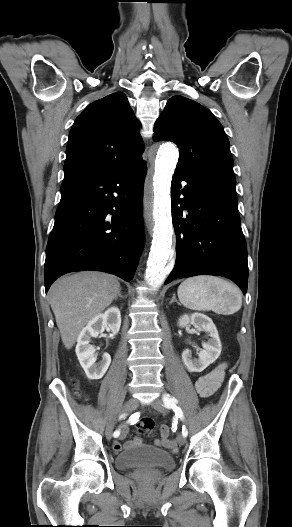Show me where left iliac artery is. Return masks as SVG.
Masks as SVG:
<instances>
[{
  "label": "left iliac artery",
  "mask_w": 292,
  "mask_h": 527,
  "mask_svg": "<svg viewBox=\"0 0 292 527\" xmlns=\"http://www.w3.org/2000/svg\"><path fill=\"white\" fill-rule=\"evenodd\" d=\"M163 402L166 408L172 409L177 417L184 421V415L182 409L177 405L178 400L175 397H171L169 394L163 395ZM182 435L186 437L188 435V430L185 425L182 427Z\"/></svg>",
  "instance_id": "1"
}]
</instances>
